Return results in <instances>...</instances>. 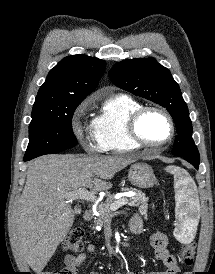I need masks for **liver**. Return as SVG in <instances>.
<instances>
[{
    "label": "liver",
    "instance_id": "6515ba94",
    "mask_svg": "<svg viewBox=\"0 0 215 274\" xmlns=\"http://www.w3.org/2000/svg\"><path fill=\"white\" fill-rule=\"evenodd\" d=\"M132 162L124 156L66 154L28 163L26 184L13 216V236L16 249L33 271L41 274L73 225L75 215L66 193L82 187L107 191L112 187L108 180Z\"/></svg>",
    "mask_w": 215,
    "mask_h": 274
}]
</instances>
